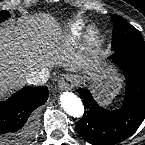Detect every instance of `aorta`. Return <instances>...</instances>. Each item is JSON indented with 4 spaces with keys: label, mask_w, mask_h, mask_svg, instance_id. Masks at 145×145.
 Returning <instances> with one entry per match:
<instances>
[{
    "label": "aorta",
    "mask_w": 145,
    "mask_h": 145,
    "mask_svg": "<svg viewBox=\"0 0 145 145\" xmlns=\"http://www.w3.org/2000/svg\"><path fill=\"white\" fill-rule=\"evenodd\" d=\"M60 102L64 111L74 117L80 118L84 113V106L81 99L71 92H64L60 96Z\"/></svg>",
    "instance_id": "1"
}]
</instances>
